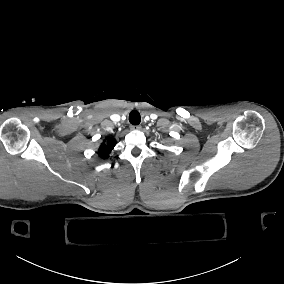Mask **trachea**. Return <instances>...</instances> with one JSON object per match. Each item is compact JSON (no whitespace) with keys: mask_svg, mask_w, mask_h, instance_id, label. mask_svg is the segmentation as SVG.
<instances>
[{"mask_svg":"<svg viewBox=\"0 0 284 284\" xmlns=\"http://www.w3.org/2000/svg\"><path fill=\"white\" fill-rule=\"evenodd\" d=\"M129 121L132 125H139L141 121L140 114L137 110H133L130 112Z\"/></svg>","mask_w":284,"mask_h":284,"instance_id":"1","label":"trachea"}]
</instances>
